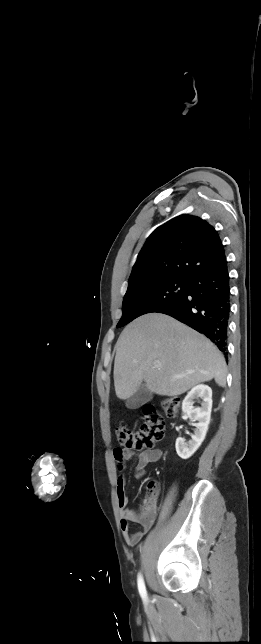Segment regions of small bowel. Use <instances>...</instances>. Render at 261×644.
<instances>
[{
	"label": "small bowel",
	"instance_id": "c3829d8e",
	"mask_svg": "<svg viewBox=\"0 0 261 644\" xmlns=\"http://www.w3.org/2000/svg\"><path fill=\"white\" fill-rule=\"evenodd\" d=\"M162 451L159 448L146 449L137 451L130 448H114L113 458L118 464L120 471L125 468V463L129 460L136 459L135 475L140 476L149 463H154L160 460ZM125 476L120 474L117 478L116 496L120 508V527L123 537L128 545L134 546L146 535L153 526V520H144L140 518L134 510L126 509L128 504V496L125 491ZM140 523L142 529L136 532L130 531V523Z\"/></svg>",
	"mask_w": 261,
	"mask_h": 644
}]
</instances>
